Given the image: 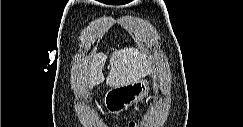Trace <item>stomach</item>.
I'll return each mask as SVG.
<instances>
[{
  "mask_svg": "<svg viewBox=\"0 0 243 127\" xmlns=\"http://www.w3.org/2000/svg\"><path fill=\"white\" fill-rule=\"evenodd\" d=\"M149 89V80L145 78L111 87L103 97V104L110 114H119L146 97Z\"/></svg>",
  "mask_w": 243,
  "mask_h": 127,
  "instance_id": "0dacf381",
  "label": "stomach"
}]
</instances>
